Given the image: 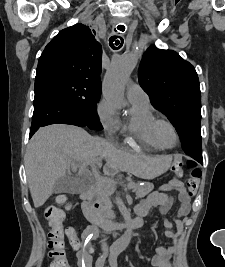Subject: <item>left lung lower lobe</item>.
Returning <instances> with one entry per match:
<instances>
[{
	"label": "left lung lower lobe",
	"instance_id": "left-lung-lower-lobe-1",
	"mask_svg": "<svg viewBox=\"0 0 225 267\" xmlns=\"http://www.w3.org/2000/svg\"><path fill=\"white\" fill-rule=\"evenodd\" d=\"M197 162H199V163L203 164V160H200V161H197Z\"/></svg>",
	"mask_w": 225,
	"mask_h": 267
}]
</instances>
